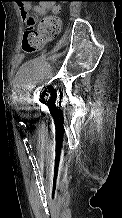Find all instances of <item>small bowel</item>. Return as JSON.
<instances>
[{
    "label": "small bowel",
    "instance_id": "small-bowel-1",
    "mask_svg": "<svg viewBox=\"0 0 122 218\" xmlns=\"http://www.w3.org/2000/svg\"><path fill=\"white\" fill-rule=\"evenodd\" d=\"M45 1L46 0H44V2H42L41 4H39L38 6H36L33 9V13H34L35 16L39 17V16H42V15H45L48 12L49 4L46 3ZM29 9H30L29 5H24L21 8L22 15L24 16V12L28 13Z\"/></svg>",
    "mask_w": 122,
    "mask_h": 218
}]
</instances>
